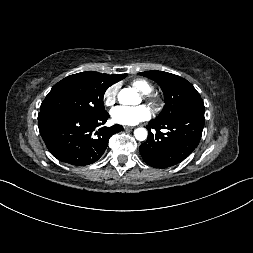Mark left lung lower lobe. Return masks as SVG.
I'll use <instances>...</instances> for the list:
<instances>
[{
	"mask_svg": "<svg viewBox=\"0 0 253 253\" xmlns=\"http://www.w3.org/2000/svg\"><path fill=\"white\" fill-rule=\"evenodd\" d=\"M204 111V104L200 102L169 120H151L146 126L148 139L140 146L143 160L151 167L167 168L187 158L201 139ZM151 129L157 133L153 134Z\"/></svg>",
	"mask_w": 253,
	"mask_h": 253,
	"instance_id": "1",
	"label": "left lung lower lobe"
}]
</instances>
